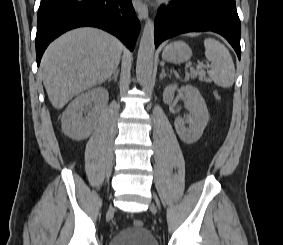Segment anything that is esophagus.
Instances as JSON below:
<instances>
[{
    "label": "esophagus",
    "mask_w": 283,
    "mask_h": 245,
    "mask_svg": "<svg viewBox=\"0 0 283 245\" xmlns=\"http://www.w3.org/2000/svg\"><path fill=\"white\" fill-rule=\"evenodd\" d=\"M134 9L140 19L148 18V8L141 0H132Z\"/></svg>",
    "instance_id": "obj_1"
}]
</instances>
